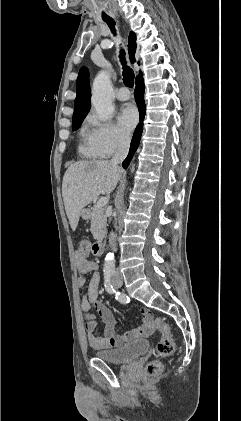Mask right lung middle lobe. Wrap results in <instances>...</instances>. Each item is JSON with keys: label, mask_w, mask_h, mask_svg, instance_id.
<instances>
[{"label": "right lung middle lobe", "mask_w": 241, "mask_h": 421, "mask_svg": "<svg viewBox=\"0 0 241 421\" xmlns=\"http://www.w3.org/2000/svg\"><path fill=\"white\" fill-rule=\"evenodd\" d=\"M84 118H85V116L73 118V122H72V129H73V131L77 130L80 127V125H81L82 121L84 120Z\"/></svg>", "instance_id": "obj_1"}]
</instances>
